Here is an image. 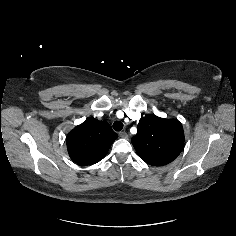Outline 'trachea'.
<instances>
[{
	"instance_id": "trachea-1",
	"label": "trachea",
	"mask_w": 236,
	"mask_h": 236,
	"mask_svg": "<svg viewBox=\"0 0 236 236\" xmlns=\"http://www.w3.org/2000/svg\"><path fill=\"white\" fill-rule=\"evenodd\" d=\"M113 129L118 132L121 131L123 129V123L121 121H115L113 123Z\"/></svg>"
}]
</instances>
